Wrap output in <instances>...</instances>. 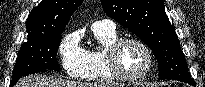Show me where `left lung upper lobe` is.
<instances>
[{"label":"left lung upper lobe","mask_w":205,"mask_h":87,"mask_svg":"<svg viewBox=\"0 0 205 87\" xmlns=\"http://www.w3.org/2000/svg\"><path fill=\"white\" fill-rule=\"evenodd\" d=\"M104 12L137 35L152 50L160 79L194 83L163 0H101Z\"/></svg>","instance_id":"obj_1"}]
</instances>
